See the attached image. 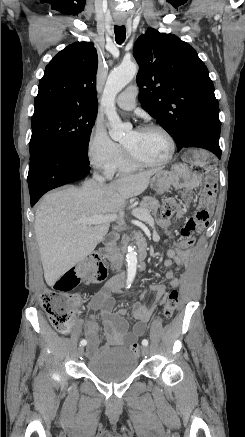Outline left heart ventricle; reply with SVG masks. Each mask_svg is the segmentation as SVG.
Listing matches in <instances>:
<instances>
[{"instance_id": "obj_1", "label": "left heart ventricle", "mask_w": 245, "mask_h": 437, "mask_svg": "<svg viewBox=\"0 0 245 437\" xmlns=\"http://www.w3.org/2000/svg\"><path fill=\"white\" fill-rule=\"evenodd\" d=\"M123 145L137 158L146 161H158L166 157L169 150L165 136L157 130L130 131Z\"/></svg>"}]
</instances>
